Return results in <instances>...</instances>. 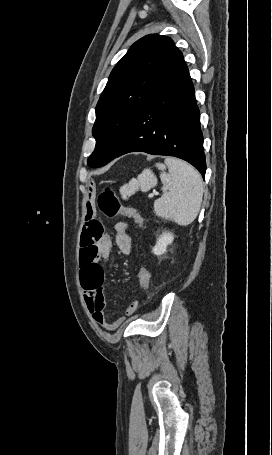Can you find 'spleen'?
Masks as SVG:
<instances>
[{"instance_id": "3e777b00", "label": "spleen", "mask_w": 272, "mask_h": 455, "mask_svg": "<svg viewBox=\"0 0 272 455\" xmlns=\"http://www.w3.org/2000/svg\"><path fill=\"white\" fill-rule=\"evenodd\" d=\"M161 170L162 196L154 202V213L166 220L185 226L192 223L200 210L203 199V181L200 173L188 163L167 157L157 163ZM168 168V173L165 172ZM157 185V178L150 168L120 188L122 199L127 200L138 190L147 192Z\"/></svg>"}]
</instances>
